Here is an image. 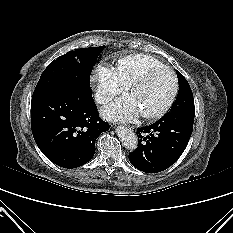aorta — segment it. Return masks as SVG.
Masks as SVG:
<instances>
[{
  "instance_id": "obj_1",
  "label": "aorta",
  "mask_w": 233,
  "mask_h": 233,
  "mask_svg": "<svg viewBox=\"0 0 233 233\" xmlns=\"http://www.w3.org/2000/svg\"><path fill=\"white\" fill-rule=\"evenodd\" d=\"M117 134L125 148L131 151L137 148L138 139L132 130L120 126L117 128Z\"/></svg>"
}]
</instances>
